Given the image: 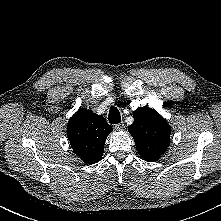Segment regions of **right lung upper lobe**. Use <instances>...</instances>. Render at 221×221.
<instances>
[{"instance_id": "obj_1", "label": "right lung upper lobe", "mask_w": 221, "mask_h": 221, "mask_svg": "<svg viewBox=\"0 0 221 221\" xmlns=\"http://www.w3.org/2000/svg\"><path fill=\"white\" fill-rule=\"evenodd\" d=\"M112 130L103 116L81 108L70 118L67 136L74 153L86 164H95L102 159L105 140Z\"/></svg>"}]
</instances>
